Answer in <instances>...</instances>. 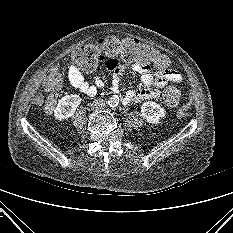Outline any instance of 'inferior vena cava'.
<instances>
[{"instance_id":"inferior-vena-cava-1","label":"inferior vena cava","mask_w":233,"mask_h":233,"mask_svg":"<svg viewBox=\"0 0 233 233\" xmlns=\"http://www.w3.org/2000/svg\"><path fill=\"white\" fill-rule=\"evenodd\" d=\"M105 102L101 99H96L92 102V108L95 111L100 110L102 107H104Z\"/></svg>"}]
</instances>
